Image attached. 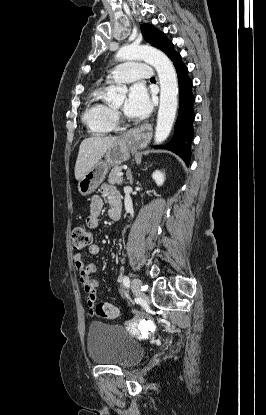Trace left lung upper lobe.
Wrapping results in <instances>:
<instances>
[{"mask_svg":"<svg viewBox=\"0 0 266 415\" xmlns=\"http://www.w3.org/2000/svg\"><path fill=\"white\" fill-rule=\"evenodd\" d=\"M140 28L145 40L153 47L162 50L170 59L177 54L173 47V43L168 40L164 33L160 32L153 25L144 23Z\"/></svg>","mask_w":266,"mask_h":415,"instance_id":"obj_1","label":"left lung upper lobe"}]
</instances>
